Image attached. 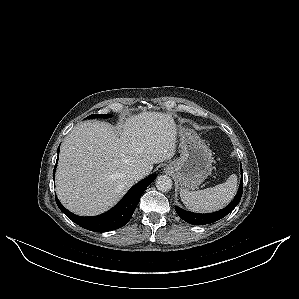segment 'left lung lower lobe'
<instances>
[{"label": "left lung lower lobe", "mask_w": 299, "mask_h": 299, "mask_svg": "<svg viewBox=\"0 0 299 299\" xmlns=\"http://www.w3.org/2000/svg\"><path fill=\"white\" fill-rule=\"evenodd\" d=\"M243 193V171L241 166V182L240 187L238 189V192L233 199V201L224 209L209 213V214H198V213H192L189 211H185L178 206H175V210L177 214L187 223L193 224V225H206L213 223L215 221L220 220L221 218L225 217L227 214H229L239 203L241 196Z\"/></svg>", "instance_id": "left-lung-lower-lobe-1"}]
</instances>
